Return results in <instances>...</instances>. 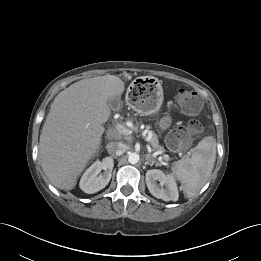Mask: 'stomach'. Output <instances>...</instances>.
Wrapping results in <instances>:
<instances>
[{
	"label": "stomach",
	"instance_id": "stomach-1",
	"mask_svg": "<svg viewBox=\"0 0 261 261\" xmlns=\"http://www.w3.org/2000/svg\"><path fill=\"white\" fill-rule=\"evenodd\" d=\"M127 96L128 104L142 116H153L160 110L164 97L163 88L157 78L144 77L133 81Z\"/></svg>",
	"mask_w": 261,
	"mask_h": 261
}]
</instances>
